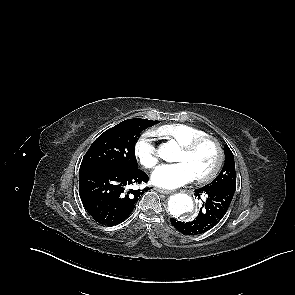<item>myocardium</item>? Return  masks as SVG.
Wrapping results in <instances>:
<instances>
[{
	"instance_id": "1",
	"label": "myocardium",
	"mask_w": 295,
	"mask_h": 295,
	"mask_svg": "<svg viewBox=\"0 0 295 295\" xmlns=\"http://www.w3.org/2000/svg\"><path fill=\"white\" fill-rule=\"evenodd\" d=\"M206 142H211L214 144L216 151H217V160H216L214 167L212 168V170L209 173L199 176V177H196V180L200 183H206V182L211 181L219 173V171L223 165V161H224V151H223L222 145L216 138L206 135V136L194 139L193 141L189 142L188 144L182 146V150L185 151L186 153H193L202 144H204Z\"/></svg>"
}]
</instances>
